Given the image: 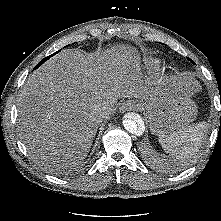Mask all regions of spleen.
I'll return each mask as SVG.
<instances>
[{"label": "spleen", "instance_id": "spleen-1", "mask_svg": "<svg viewBox=\"0 0 221 221\" xmlns=\"http://www.w3.org/2000/svg\"><path fill=\"white\" fill-rule=\"evenodd\" d=\"M204 127V123L199 122L160 136L159 142L165 152L181 157H189L197 152L201 144Z\"/></svg>", "mask_w": 221, "mask_h": 221}]
</instances>
